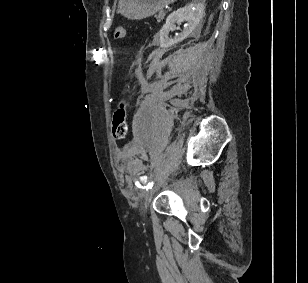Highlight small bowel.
<instances>
[{
  "mask_svg": "<svg viewBox=\"0 0 308 283\" xmlns=\"http://www.w3.org/2000/svg\"><path fill=\"white\" fill-rule=\"evenodd\" d=\"M120 170H121V171H124V170H125V167H124L123 164H120Z\"/></svg>",
  "mask_w": 308,
  "mask_h": 283,
  "instance_id": "1",
  "label": "small bowel"
}]
</instances>
